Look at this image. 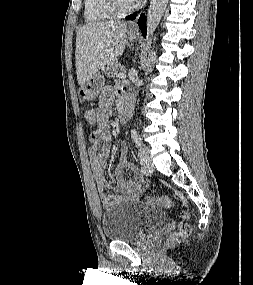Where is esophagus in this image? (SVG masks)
Returning <instances> with one entry per match:
<instances>
[{
    "instance_id": "obj_1",
    "label": "esophagus",
    "mask_w": 253,
    "mask_h": 285,
    "mask_svg": "<svg viewBox=\"0 0 253 285\" xmlns=\"http://www.w3.org/2000/svg\"><path fill=\"white\" fill-rule=\"evenodd\" d=\"M129 28H130V30H135L136 31V30H138V25H137L136 22H133V23L130 24Z\"/></svg>"
}]
</instances>
